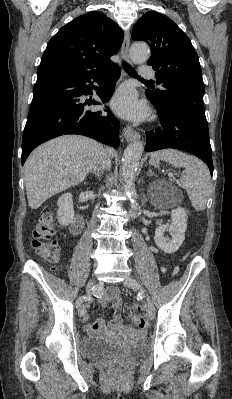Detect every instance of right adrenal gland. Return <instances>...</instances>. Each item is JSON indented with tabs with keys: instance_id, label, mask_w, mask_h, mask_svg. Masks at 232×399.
I'll list each match as a JSON object with an SVG mask.
<instances>
[{
	"instance_id": "2a0ac1e0",
	"label": "right adrenal gland",
	"mask_w": 232,
	"mask_h": 399,
	"mask_svg": "<svg viewBox=\"0 0 232 399\" xmlns=\"http://www.w3.org/2000/svg\"><path fill=\"white\" fill-rule=\"evenodd\" d=\"M89 172H92V174H94V176H96V178H98V180H100V178L102 176V172H101L100 168H92V170H89ZM89 172H87V174H89Z\"/></svg>"
}]
</instances>
